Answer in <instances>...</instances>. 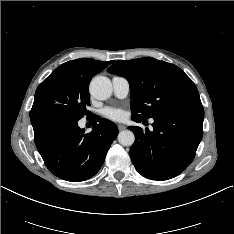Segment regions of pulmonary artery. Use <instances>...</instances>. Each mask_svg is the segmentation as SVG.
<instances>
[{"instance_id":"e3ab8cb5","label":"pulmonary artery","mask_w":234,"mask_h":234,"mask_svg":"<svg viewBox=\"0 0 234 234\" xmlns=\"http://www.w3.org/2000/svg\"><path fill=\"white\" fill-rule=\"evenodd\" d=\"M113 91L116 97L123 99L130 91V84L128 80L121 76H114L112 78Z\"/></svg>"}]
</instances>
